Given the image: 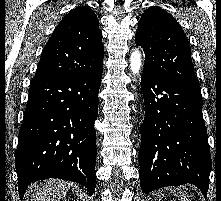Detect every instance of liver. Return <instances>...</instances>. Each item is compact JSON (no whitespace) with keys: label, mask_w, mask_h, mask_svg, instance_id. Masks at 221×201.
Here are the masks:
<instances>
[{"label":"liver","mask_w":221,"mask_h":201,"mask_svg":"<svg viewBox=\"0 0 221 201\" xmlns=\"http://www.w3.org/2000/svg\"><path fill=\"white\" fill-rule=\"evenodd\" d=\"M72 183L63 180H47L40 187L33 185L31 192L33 193L34 201H59L66 196Z\"/></svg>","instance_id":"obj_1"}]
</instances>
